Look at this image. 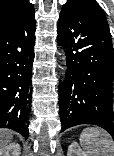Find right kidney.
<instances>
[{
	"instance_id": "obj_1",
	"label": "right kidney",
	"mask_w": 114,
	"mask_h": 156,
	"mask_svg": "<svg viewBox=\"0 0 114 156\" xmlns=\"http://www.w3.org/2000/svg\"><path fill=\"white\" fill-rule=\"evenodd\" d=\"M20 145L18 143H10L0 150V156H19Z\"/></svg>"
}]
</instances>
